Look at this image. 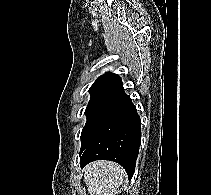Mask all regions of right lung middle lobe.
<instances>
[{
    "instance_id": "dd1d6c3e",
    "label": "right lung middle lobe",
    "mask_w": 211,
    "mask_h": 195,
    "mask_svg": "<svg viewBox=\"0 0 211 195\" xmlns=\"http://www.w3.org/2000/svg\"><path fill=\"white\" fill-rule=\"evenodd\" d=\"M112 96V93L91 92V99L85 111V115L87 116V122L81 133V143L89 134L99 115L101 114V112L103 111Z\"/></svg>"
}]
</instances>
